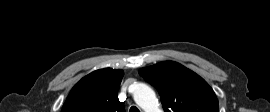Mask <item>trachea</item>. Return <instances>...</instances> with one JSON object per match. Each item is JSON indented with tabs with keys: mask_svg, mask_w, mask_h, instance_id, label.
<instances>
[{
	"mask_svg": "<svg viewBox=\"0 0 270 112\" xmlns=\"http://www.w3.org/2000/svg\"><path fill=\"white\" fill-rule=\"evenodd\" d=\"M129 112H140L139 109L136 106H132L129 110Z\"/></svg>",
	"mask_w": 270,
	"mask_h": 112,
	"instance_id": "1",
	"label": "trachea"
}]
</instances>
